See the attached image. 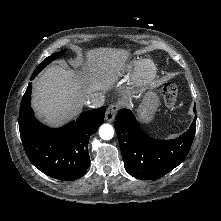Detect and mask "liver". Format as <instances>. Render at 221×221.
<instances>
[{
    "label": "liver",
    "instance_id": "1",
    "mask_svg": "<svg viewBox=\"0 0 221 221\" xmlns=\"http://www.w3.org/2000/svg\"><path fill=\"white\" fill-rule=\"evenodd\" d=\"M86 57L87 75H77L67 65H54L34 82L32 106L43 122L58 126L80 113L87 98L115 81L129 54L125 50L97 48L89 50Z\"/></svg>",
    "mask_w": 221,
    "mask_h": 221
}]
</instances>
